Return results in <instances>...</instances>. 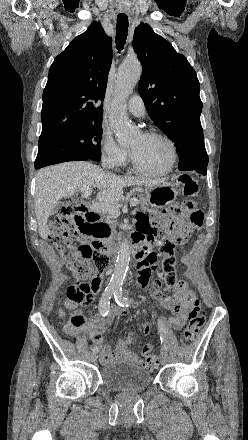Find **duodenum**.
Returning <instances> with one entry per match:
<instances>
[{"instance_id": "duodenum-1", "label": "duodenum", "mask_w": 248, "mask_h": 440, "mask_svg": "<svg viewBox=\"0 0 248 440\" xmlns=\"http://www.w3.org/2000/svg\"><path fill=\"white\" fill-rule=\"evenodd\" d=\"M80 209L83 213H85V216H83L84 220L82 231L87 230L88 234H92L94 224L99 217L94 213L87 212V207L84 205L81 206ZM93 239L94 245L101 249L105 255L112 256L116 253V248L113 247L108 241H96L95 237H93ZM132 255L137 261L138 268H141L143 266V258L148 257L149 255L148 246L144 243V239L138 235L133 236L132 239Z\"/></svg>"}]
</instances>
